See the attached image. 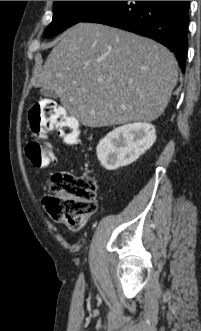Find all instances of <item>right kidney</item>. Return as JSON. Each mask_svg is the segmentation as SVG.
<instances>
[{
	"label": "right kidney",
	"instance_id": "ca27d5eb",
	"mask_svg": "<svg viewBox=\"0 0 201 331\" xmlns=\"http://www.w3.org/2000/svg\"><path fill=\"white\" fill-rule=\"evenodd\" d=\"M155 127L130 123L117 127L100 140L97 157L107 170H116L136 161L155 142Z\"/></svg>",
	"mask_w": 201,
	"mask_h": 331
}]
</instances>
